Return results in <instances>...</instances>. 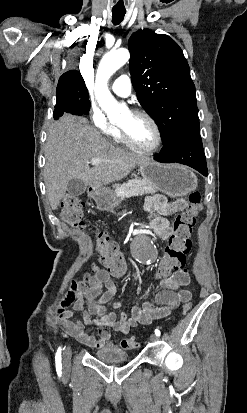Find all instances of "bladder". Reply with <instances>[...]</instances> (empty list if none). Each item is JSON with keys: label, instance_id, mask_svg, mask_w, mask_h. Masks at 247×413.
<instances>
[{"label": "bladder", "instance_id": "bladder-1", "mask_svg": "<svg viewBox=\"0 0 247 413\" xmlns=\"http://www.w3.org/2000/svg\"><path fill=\"white\" fill-rule=\"evenodd\" d=\"M95 358L106 362L126 361L131 359V354L122 352L118 345H107L95 352Z\"/></svg>", "mask_w": 247, "mask_h": 413}]
</instances>
